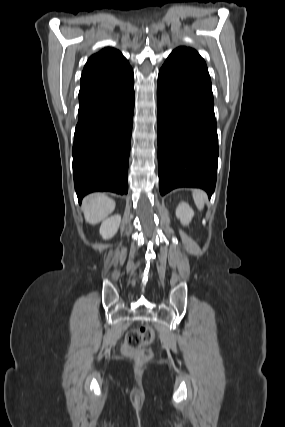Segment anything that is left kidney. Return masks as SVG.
Here are the masks:
<instances>
[{"label": "left kidney", "instance_id": "obj_1", "mask_svg": "<svg viewBox=\"0 0 285 427\" xmlns=\"http://www.w3.org/2000/svg\"><path fill=\"white\" fill-rule=\"evenodd\" d=\"M176 216L183 225H188L194 216V211L189 204L181 202L176 209Z\"/></svg>", "mask_w": 285, "mask_h": 427}]
</instances>
